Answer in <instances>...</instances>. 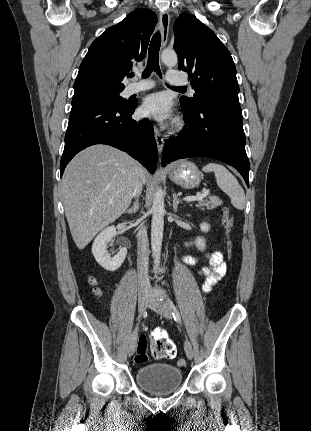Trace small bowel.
Masks as SVG:
<instances>
[{
  "label": "small bowel",
  "mask_w": 311,
  "mask_h": 431,
  "mask_svg": "<svg viewBox=\"0 0 311 431\" xmlns=\"http://www.w3.org/2000/svg\"><path fill=\"white\" fill-rule=\"evenodd\" d=\"M185 261L189 264H196L197 258L193 256H186ZM227 270L226 264L223 260V255L219 251L207 254V265L200 269L201 275L204 277L203 289L209 291L214 285H216L221 278L225 275ZM162 335L167 337L166 333L162 330H154L151 334L152 339Z\"/></svg>",
  "instance_id": "obj_1"
}]
</instances>
